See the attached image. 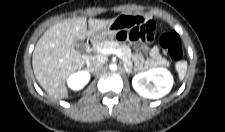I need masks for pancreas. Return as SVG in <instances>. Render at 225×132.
Here are the masks:
<instances>
[{
  "label": "pancreas",
  "instance_id": "1",
  "mask_svg": "<svg viewBox=\"0 0 225 132\" xmlns=\"http://www.w3.org/2000/svg\"><path fill=\"white\" fill-rule=\"evenodd\" d=\"M106 48H114V49L120 50L122 53V60L124 62V65L130 69L133 67L132 60H131L132 53L128 45L120 44L117 41L110 40V41H102L99 44H97V47H96L97 51H100ZM160 65L169 67V61L164 59L161 61Z\"/></svg>",
  "mask_w": 225,
  "mask_h": 132
}]
</instances>
